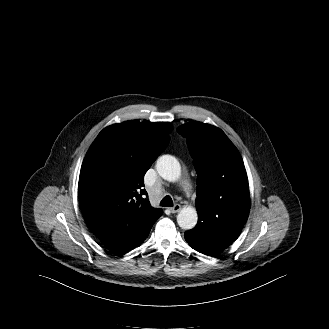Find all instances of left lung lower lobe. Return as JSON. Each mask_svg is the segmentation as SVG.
Listing matches in <instances>:
<instances>
[{
	"label": "left lung lower lobe",
	"mask_w": 329,
	"mask_h": 329,
	"mask_svg": "<svg viewBox=\"0 0 329 329\" xmlns=\"http://www.w3.org/2000/svg\"><path fill=\"white\" fill-rule=\"evenodd\" d=\"M227 226L228 228L212 238L199 236L196 232L190 230L185 233V240L198 252L208 256H216L232 244L243 228Z\"/></svg>",
	"instance_id": "left-lung-lower-lobe-1"
}]
</instances>
